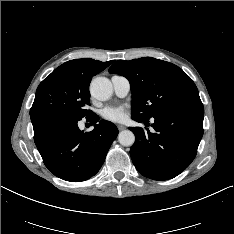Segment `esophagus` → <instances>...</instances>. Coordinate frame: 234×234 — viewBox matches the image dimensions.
Masks as SVG:
<instances>
[{
  "label": "esophagus",
  "mask_w": 234,
  "mask_h": 234,
  "mask_svg": "<svg viewBox=\"0 0 234 234\" xmlns=\"http://www.w3.org/2000/svg\"><path fill=\"white\" fill-rule=\"evenodd\" d=\"M117 128L119 131L126 129V127L124 125H118Z\"/></svg>",
  "instance_id": "34e87169"
}]
</instances>
